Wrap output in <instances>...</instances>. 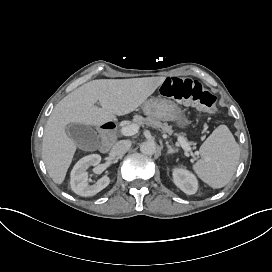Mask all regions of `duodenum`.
<instances>
[{
    "label": "duodenum",
    "mask_w": 272,
    "mask_h": 272,
    "mask_svg": "<svg viewBox=\"0 0 272 272\" xmlns=\"http://www.w3.org/2000/svg\"><path fill=\"white\" fill-rule=\"evenodd\" d=\"M102 144L100 150L106 152L110 149L116 138V124L113 121H105L101 125Z\"/></svg>",
    "instance_id": "obj_1"
}]
</instances>
